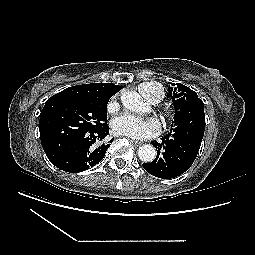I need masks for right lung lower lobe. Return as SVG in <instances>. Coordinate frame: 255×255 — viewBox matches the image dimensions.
<instances>
[{
	"instance_id": "98d812e1",
	"label": "right lung lower lobe",
	"mask_w": 255,
	"mask_h": 255,
	"mask_svg": "<svg viewBox=\"0 0 255 255\" xmlns=\"http://www.w3.org/2000/svg\"><path fill=\"white\" fill-rule=\"evenodd\" d=\"M109 133L107 123L87 134L77 136L66 142L61 148L54 149L41 140L43 149L53 165L66 172H82L98 164L105 156L111 139L105 142Z\"/></svg>"
}]
</instances>
